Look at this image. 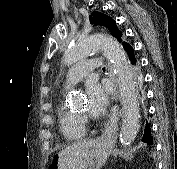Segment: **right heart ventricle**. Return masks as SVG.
Listing matches in <instances>:
<instances>
[{"label":"right heart ventricle","instance_id":"1","mask_svg":"<svg viewBox=\"0 0 177 169\" xmlns=\"http://www.w3.org/2000/svg\"><path fill=\"white\" fill-rule=\"evenodd\" d=\"M58 117L60 131L67 140H81L86 136L85 123L77 113L67 109L64 105H60Z\"/></svg>","mask_w":177,"mask_h":169}]
</instances>
